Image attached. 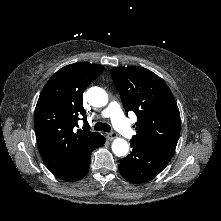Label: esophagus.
Masks as SVG:
<instances>
[{
	"instance_id": "esophagus-1",
	"label": "esophagus",
	"mask_w": 221,
	"mask_h": 221,
	"mask_svg": "<svg viewBox=\"0 0 221 221\" xmlns=\"http://www.w3.org/2000/svg\"><path fill=\"white\" fill-rule=\"evenodd\" d=\"M117 137V134L115 133V132H111V133H108L107 134V138L109 139V140H113V139H115Z\"/></svg>"
}]
</instances>
